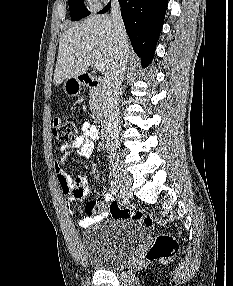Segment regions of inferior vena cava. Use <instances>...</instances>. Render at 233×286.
<instances>
[{
	"label": "inferior vena cava",
	"mask_w": 233,
	"mask_h": 286,
	"mask_svg": "<svg viewBox=\"0 0 233 286\" xmlns=\"http://www.w3.org/2000/svg\"><path fill=\"white\" fill-rule=\"evenodd\" d=\"M111 16L115 30V53L111 64L105 72L103 79V113L104 127L109 133V144L118 135L119 126V91L121 89L124 72L128 62L129 47L125 38V28L121 17L118 0L111 2Z\"/></svg>",
	"instance_id": "1"
}]
</instances>
